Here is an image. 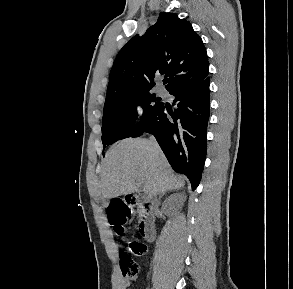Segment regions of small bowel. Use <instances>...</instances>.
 Here are the masks:
<instances>
[{
  "label": "small bowel",
  "mask_w": 293,
  "mask_h": 289,
  "mask_svg": "<svg viewBox=\"0 0 293 289\" xmlns=\"http://www.w3.org/2000/svg\"><path fill=\"white\" fill-rule=\"evenodd\" d=\"M127 285H128V283H127V282H125V283H124V287H127Z\"/></svg>",
  "instance_id": "small-bowel-1"
}]
</instances>
